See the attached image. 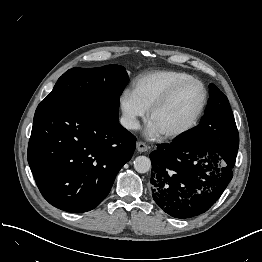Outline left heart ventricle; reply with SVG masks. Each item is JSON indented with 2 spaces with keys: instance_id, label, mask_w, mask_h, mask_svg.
<instances>
[{
  "instance_id": "b2bd125f",
  "label": "left heart ventricle",
  "mask_w": 262,
  "mask_h": 262,
  "mask_svg": "<svg viewBox=\"0 0 262 262\" xmlns=\"http://www.w3.org/2000/svg\"><path fill=\"white\" fill-rule=\"evenodd\" d=\"M202 99V89L197 84L182 88L173 99L150 120L161 134L185 126L196 113Z\"/></svg>"
}]
</instances>
